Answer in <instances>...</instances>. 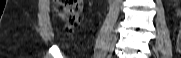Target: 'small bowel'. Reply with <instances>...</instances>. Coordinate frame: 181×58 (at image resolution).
Wrapping results in <instances>:
<instances>
[{"instance_id":"small-bowel-1","label":"small bowel","mask_w":181,"mask_h":58,"mask_svg":"<svg viewBox=\"0 0 181 58\" xmlns=\"http://www.w3.org/2000/svg\"><path fill=\"white\" fill-rule=\"evenodd\" d=\"M176 14H177V15H181V9H178V10L176 11Z\"/></svg>"}]
</instances>
